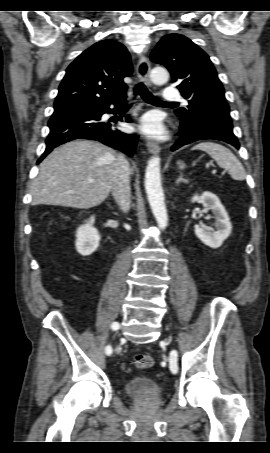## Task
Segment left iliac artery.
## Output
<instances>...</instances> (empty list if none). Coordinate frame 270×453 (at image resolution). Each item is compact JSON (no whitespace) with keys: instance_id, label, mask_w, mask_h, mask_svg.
Wrapping results in <instances>:
<instances>
[{"instance_id":"1","label":"left iliac artery","mask_w":270,"mask_h":453,"mask_svg":"<svg viewBox=\"0 0 270 453\" xmlns=\"http://www.w3.org/2000/svg\"><path fill=\"white\" fill-rule=\"evenodd\" d=\"M170 369L173 374L178 372L177 352L173 350L170 354Z\"/></svg>"}]
</instances>
